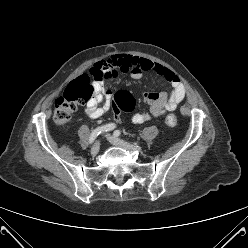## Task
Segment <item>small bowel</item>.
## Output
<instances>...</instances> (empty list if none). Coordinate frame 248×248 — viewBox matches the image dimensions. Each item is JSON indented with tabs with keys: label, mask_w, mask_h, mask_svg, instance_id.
<instances>
[{
	"label": "small bowel",
	"mask_w": 248,
	"mask_h": 248,
	"mask_svg": "<svg viewBox=\"0 0 248 248\" xmlns=\"http://www.w3.org/2000/svg\"><path fill=\"white\" fill-rule=\"evenodd\" d=\"M90 71L99 74L94 82L96 95L84 109L85 114L92 119L108 114L111 91L103 86V78H117L119 73H129L133 79L140 80L144 73L150 72L162 77L172 86L169 93H143V101L149 106V109L148 111L134 112L131 116L134 124H142L176 109L185 97V85L175 72L145 58L116 54L96 62Z\"/></svg>",
	"instance_id": "small-bowel-1"
}]
</instances>
